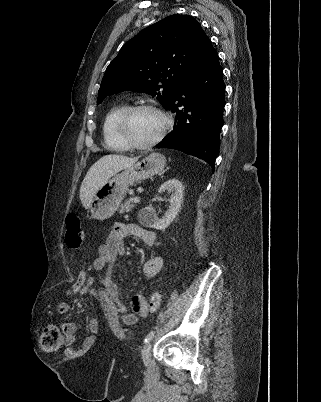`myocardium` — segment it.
<instances>
[{"mask_svg":"<svg viewBox=\"0 0 321 402\" xmlns=\"http://www.w3.org/2000/svg\"><path fill=\"white\" fill-rule=\"evenodd\" d=\"M142 110L155 111L161 115L164 121L163 128L158 134V136L145 144H140L134 141L128 132L129 119L134 113ZM171 125H172L171 117L165 110L153 104L142 103L129 106L122 112L117 121V131L121 140L127 145L128 148L134 150H148L157 145L165 137L167 132L170 130Z\"/></svg>","mask_w":321,"mask_h":402,"instance_id":"1","label":"myocardium"}]
</instances>
